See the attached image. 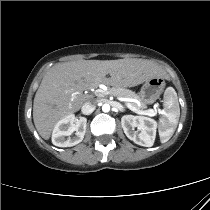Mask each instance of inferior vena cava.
<instances>
[{"instance_id":"1","label":"inferior vena cava","mask_w":210,"mask_h":210,"mask_svg":"<svg viewBox=\"0 0 210 210\" xmlns=\"http://www.w3.org/2000/svg\"><path fill=\"white\" fill-rule=\"evenodd\" d=\"M96 101L95 100H88L82 106V113L85 115L91 114L96 108Z\"/></svg>"}]
</instances>
